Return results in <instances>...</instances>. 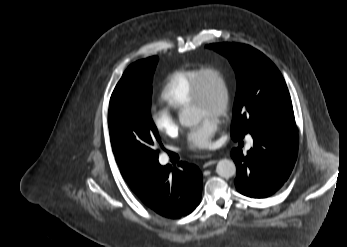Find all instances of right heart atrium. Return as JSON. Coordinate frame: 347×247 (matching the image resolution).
<instances>
[{
    "mask_svg": "<svg viewBox=\"0 0 347 247\" xmlns=\"http://www.w3.org/2000/svg\"><path fill=\"white\" fill-rule=\"evenodd\" d=\"M150 119L154 128L165 136H172L178 130L176 119L167 108H153Z\"/></svg>",
    "mask_w": 347,
    "mask_h": 247,
    "instance_id": "obj_1",
    "label": "right heart atrium"
}]
</instances>
